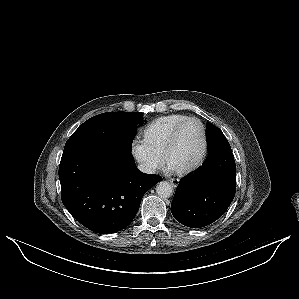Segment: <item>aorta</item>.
I'll return each instance as SVG.
<instances>
[{"instance_id": "obj_1", "label": "aorta", "mask_w": 299, "mask_h": 299, "mask_svg": "<svg viewBox=\"0 0 299 299\" xmlns=\"http://www.w3.org/2000/svg\"><path fill=\"white\" fill-rule=\"evenodd\" d=\"M156 192L161 198H169L173 193V188L170 183L162 181L157 184Z\"/></svg>"}]
</instances>
